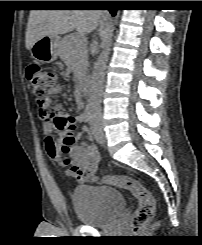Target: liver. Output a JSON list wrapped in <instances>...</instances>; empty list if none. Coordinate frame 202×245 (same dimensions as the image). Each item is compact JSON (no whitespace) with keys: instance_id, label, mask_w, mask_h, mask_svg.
Masks as SVG:
<instances>
[{"instance_id":"6515ba94","label":"liver","mask_w":202,"mask_h":245,"mask_svg":"<svg viewBox=\"0 0 202 245\" xmlns=\"http://www.w3.org/2000/svg\"><path fill=\"white\" fill-rule=\"evenodd\" d=\"M102 12L96 10H32L26 29V48L43 36H57L76 29L91 33L99 24Z\"/></svg>"}]
</instances>
